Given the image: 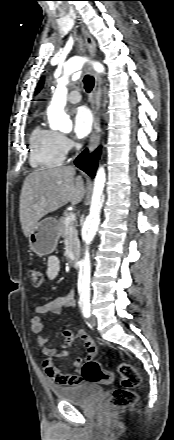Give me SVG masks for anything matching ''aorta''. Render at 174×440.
Segmentation results:
<instances>
[{"label": "aorta", "instance_id": "obj_1", "mask_svg": "<svg viewBox=\"0 0 174 440\" xmlns=\"http://www.w3.org/2000/svg\"><path fill=\"white\" fill-rule=\"evenodd\" d=\"M82 62L80 60H73L68 62L63 67L62 76L57 80V88L53 95L47 114L51 129L60 130L62 132H69L72 129V122L69 116L64 112V107L67 101V84L70 78L78 76ZM105 181V174L103 169H100L96 175L94 192L90 207V213L84 223L82 229L83 241L86 245H90L97 232L100 224V213L104 202V195L102 193ZM90 285V254L87 247L85 257L80 261V272L78 286L81 290H89Z\"/></svg>", "mask_w": 174, "mask_h": 440}]
</instances>
